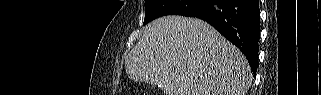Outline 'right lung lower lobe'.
<instances>
[{"label": "right lung lower lobe", "instance_id": "right-lung-lower-lobe-1", "mask_svg": "<svg viewBox=\"0 0 321 95\" xmlns=\"http://www.w3.org/2000/svg\"><path fill=\"white\" fill-rule=\"evenodd\" d=\"M188 17L205 20L246 56L256 74L260 10L258 0H207Z\"/></svg>", "mask_w": 321, "mask_h": 95}]
</instances>
